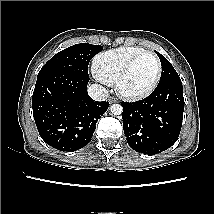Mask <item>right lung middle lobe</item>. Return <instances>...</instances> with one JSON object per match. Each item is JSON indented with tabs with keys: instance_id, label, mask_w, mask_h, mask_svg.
<instances>
[{
	"instance_id": "1",
	"label": "right lung middle lobe",
	"mask_w": 214,
	"mask_h": 214,
	"mask_svg": "<svg viewBox=\"0 0 214 214\" xmlns=\"http://www.w3.org/2000/svg\"><path fill=\"white\" fill-rule=\"evenodd\" d=\"M103 50L100 45L80 43L70 46L54 55L40 70L37 78L44 75L65 72L89 77L88 64L90 59Z\"/></svg>"
}]
</instances>
